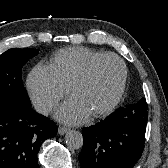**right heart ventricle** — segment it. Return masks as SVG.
<instances>
[{"mask_svg":"<svg viewBox=\"0 0 168 168\" xmlns=\"http://www.w3.org/2000/svg\"><path fill=\"white\" fill-rule=\"evenodd\" d=\"M104 54L86 47H71L60 50L53 58L52 65L61 80L69 88L94 58Z\"/></svg>","mask_w":168,"mask_h":168,"instance_id":"e07e8e85","label":"right heart ventricle"}]
</instances>
